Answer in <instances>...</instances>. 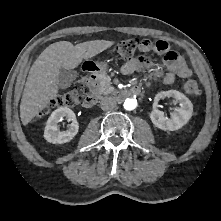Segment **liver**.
I'll use <instances>...</instances> for the list:
<instances>
[{"instance_id": "1", "label": "liver", "mask_w": 221, "mask_h": 221, "mask_svg": "<svg viewBox=\"0 0 221 221\" xmlns=\"http://www.w3.org/2000/svg\"><path fill=\"white\" fill-rule=\"evenodd\" d=\"M113 44L108 40H92L75 46L69 41L49 45L30 69L20 104L22 124L27 125L57 96L61 67L74 69L83 59L92 58Z\"/></svg>"}]
</instances>
